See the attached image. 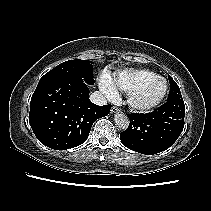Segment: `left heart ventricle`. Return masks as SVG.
<instances>
[{
	"mask_svg": "<svg viewBox=\"0 0 211 211\" xmlns=\"http://www.w3.org/2000/svg\"><path fill=\"white\" fill-rule=\"evenodd\" d=\"M163 90L164 83L161 80H156L140 93L137 100L140 103L151 102L159 97Z\"/></svg>",
	"mask_w": 211,
	"mask_h": 211,
	"instance_id": "obj_1",
	"label": "left heart ventricle"
}]
</instances>
